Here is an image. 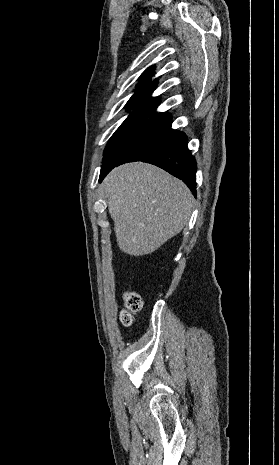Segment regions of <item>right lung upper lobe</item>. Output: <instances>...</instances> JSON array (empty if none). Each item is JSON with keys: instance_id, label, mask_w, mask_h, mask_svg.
<instances>
[{"instance_id": "obj_1", "label": "right lung upper lobe", "mask_w": 279, "mask_h": 465, "mask_svg": "<svg viewBox=\"0 0 279 465\" xmlns=\"http://www.w3.org/2000/svg\"><path fill=\"white\" fill-rule=\"evenodd\" d=\"M152 72L153 67L151 66L140 76L139 86L127 103V109H133V111L123 124L171 125V116L169 114L155 112L159 99L150 97L156 86V83L151 81Z\"/></svg>"}]
</instances>
